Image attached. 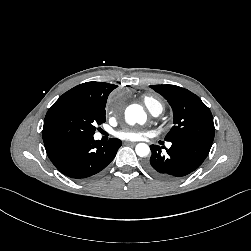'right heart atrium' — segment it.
Listing matches in <instances>:
<instances>
[{
	"label": "right heart atrium",
	"instance_id": "1",
	"mask_svg": "<svg viewBox=\"0 0 251 251\" xmlns=\"http://www.w3.org/2000/svg\"><path fill=\"white\" fill-rule=\"evenodd\" d=\"M108 111H109L110 113H113V112H114V108H113V107H109V108H108Z\"/></svg>",
	"mask_w": 251,
	"mask_h": 251
}]
</instances>
